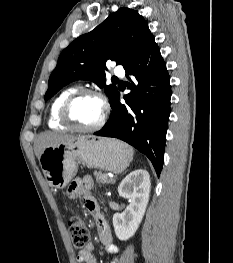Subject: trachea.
Returning <instances> with one entry per match:
<instances>
[{
  "label": "trachea",
  "mask_w": 233,
  "mask_h": 263,
  "mask_svg": "<svg viewBox=\"0 0 233 263\" xmlns=\"http://www.w3.org/2000/svg\"><path fill=\"white\" fill-rule=\"evenodd\" d=\"M112 81H119V79L117 77H113Z\"/></svg>",
  "instance_id": "obj_1"
}]
</instances>
